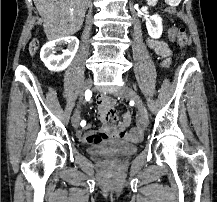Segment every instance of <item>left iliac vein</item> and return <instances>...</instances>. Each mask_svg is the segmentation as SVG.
I'll return each instance as SVG.
<instances>
[{"mask_svg": "<svg viewBox=\"0 0 217 202\" xmlns=\"http://www.w3.org/2000/svg\"><path fill=\"white\" fill-rule=\"evenodd\" d=\"M114 95L120 96L121 98H125V99L132 98L136 102L137 108L139 110L140 125L144 128L148 127L149 118L146 112V107H145L143 100L136 93V91H134L128 86H124V87H121L119 90L115 91Z\"/></svg>", "mask_w": 217, "mask_h": 202, "instance_id": "1", "label": "left iliac vein"}]
</instances>
